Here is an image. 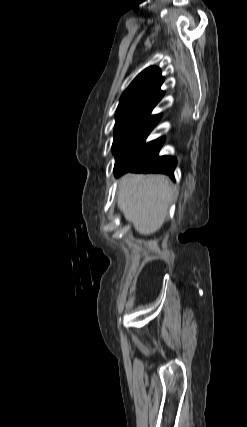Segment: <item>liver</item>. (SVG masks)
I'll return each instance as SVG.
<instances>
[{
    "label": "liver",
    "instance_id": "6515ba94",
    "mask_svg": "<svg viewBox=\"0 0 247 427\" xmlns=\"http://www.w3.org/2000/svg\"><path fill=\"white\" fill-rule=\"evenodd\" d=\"M174 198L172 185L164 175L128 173L119 180L118 208L142 235L162 227Z\"/></svg>",
    "mask_w": 247,
    "mask_h": 427
}]
</instances>
